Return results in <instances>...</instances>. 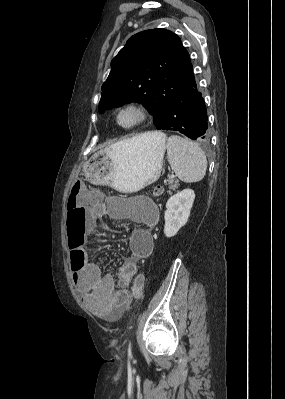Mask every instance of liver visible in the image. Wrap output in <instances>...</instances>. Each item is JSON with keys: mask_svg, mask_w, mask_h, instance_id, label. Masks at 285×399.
I'll list each match as a JSON object with an SVG mask.
<instances>
[{"mask_svg": "<svg viewBox=\"0 0 285 399\" xmlns=\"http://www.w3.org/2000/svg\"><path fill=\"white\" fill-rule=\"evenodd\" d=\"M141 135H146V136H149V137L155 138V136H156V132L144 133V134H141Z\"/></svg>", "mask_w": 285, "mask_h": 399, "instance_id": "6515ba94", "label": "liver"}]
</instances>
